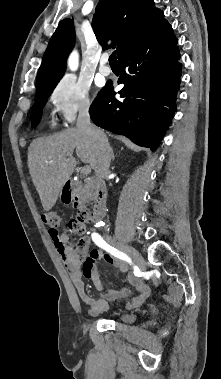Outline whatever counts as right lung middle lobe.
I'll return each instance as SVG.
<instances>
[{
	"instance_id": "obj_1",
	"label": "right lung middle lobe",
	"mask_w": 221,
	"mask_h": 379,
	"mask_svg": "<svg viewBox=\"0 0 221 379\" xmlns=\"http://www.w3.org/2000/svg\"><path fill=\"white\" fill-rule=\"evenodd\" d=\"M59 81L49 85V86H46V87H43L41 89H38L37 90V97H36V100L40 99L39 101H37L34 105H33V108H32V125L33 126H37L40 119H41V116H42V110H43V107L45 105V103L47 102V98L50 96V94L52 93L53 89L55 88V86L57 85Z\"/></svg>"
}]
</instances>
